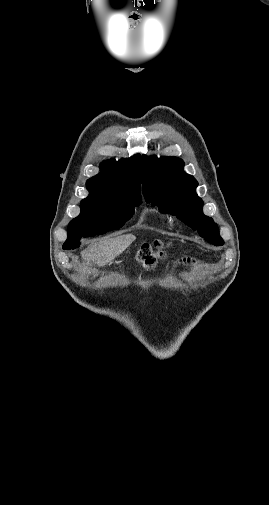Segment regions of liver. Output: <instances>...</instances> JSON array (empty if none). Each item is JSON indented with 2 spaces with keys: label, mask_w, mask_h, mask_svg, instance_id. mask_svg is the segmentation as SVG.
<instances>
[{
  "label": "liver",
  "mask_w": 269,
  "mask_h": 505,
  "mask_svg": "<svg viewBox=\"0 0 269 505\" xmlns=\"http://www.w3.org/2000/svg\"><path fill=\"white\" fill-rule=\"evenodd\" d=\"M135 239L136 237L132 234L104 239L89 245L81 253V256L85 261H93L98 266H105L106 264H110Z\"/></svg>",
  "instance_id": "6515ba94"
}]
</instances>
